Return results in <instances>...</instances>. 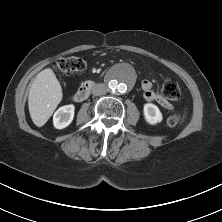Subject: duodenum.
<instances>
[{
    "label": "duodenum",
    "instance_id": "duodenum-1",
    "mask_svg": "<svg viewBox=\"0 0 222 222\" xmlns=\"http://www.w3.org/2000/svg\"><path fill=\"white\" fill-rule=\"evenodd\" d=\"M95 83L93 81H87L85 82L74 94H73V100L75 102H82L86 100L93 89Z\"/></svg>",
    "mask_w": 222,
    "mask_h": 222
}]
</instances>
